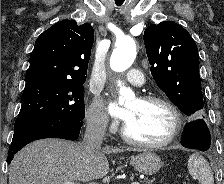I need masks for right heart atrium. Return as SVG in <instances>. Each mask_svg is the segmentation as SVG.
Masks as SVG:
<instances>
[{"mask_svg": "<svg viewBox=\"0 0 224 184\" xmlns=\"http://www.w3.org/2000/svg\"><path fill=\"white\" fill-rule=\"evenodd\" d=\"M85 120L91 129L97 132H103L108 126V118L103 102L100 99H94L88 107Z\"/></svg>", "mask_w": 224, "mask_h": 184, "instance_id": "d8ad5b80", "label": "right heart atrium"}]
</instances>
